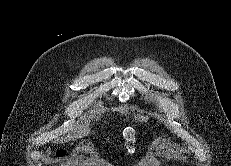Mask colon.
Masks as SVG:
<instances>
[{"label":"colon","instance_id":"colon-1","mask_svg":"<svg viewBox=\"0 0 231 166\" xmlns=\"http://www.w3.org/2000/svg\"><path fill=\"white\" fill-rule=\"evenodd\" d=\"M58 155H59V156H62V155H63V153H62V152H60Z\"/></svg>","mask_w":231,"mask_h":166}]
</instances>
